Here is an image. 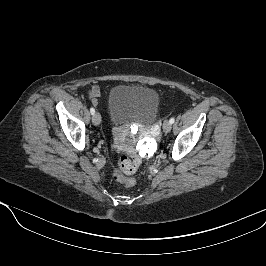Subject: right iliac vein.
<instances>
[{
    "mask_svg": "<svg viewBox=\"0 0 266 266\" xmlns=\"http://www.w3.org/2000/svg\"><path fill=\"white\" fill-rule=\"evenodd\" d=\"M92 122L96 126L101 123V115L98 112H96V113L93 114V116H92Z\"/></svg>",
    "mask_w": 266,
    "mask_h": 266,
    "instance_id": "obj_1",
    "label": "right iliac vein"
}]
</instances>
